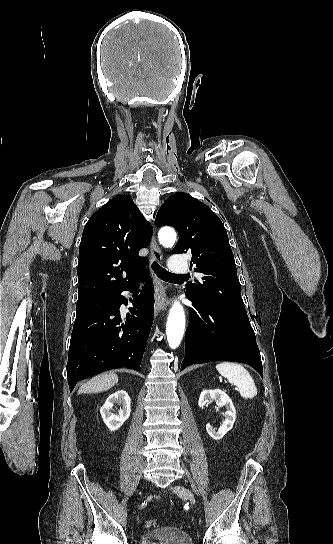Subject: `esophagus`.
<instances>
[{"mask_svg": "<svg viewBox=\"0 0 333 544\" xmlns=\"http://www.w3.org/2000/svg\"><path fill=\"white\" fill-rule=\"evenodd\" d=\"M150 250L152 260L160 262L162 260V252L154 235L151 239ZM150 273L154 284V313L155 316H158L160 312L164 309V303L167 297L166 287L164 286L163 282L158 278L154 270L151 269Z\"/></svg>", "mask_w": 333, "mask_h": 544, "instance_id": "obj_1", "label": "esophagus"}]
</instances>
